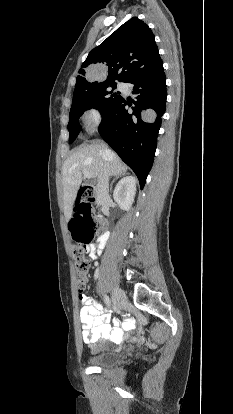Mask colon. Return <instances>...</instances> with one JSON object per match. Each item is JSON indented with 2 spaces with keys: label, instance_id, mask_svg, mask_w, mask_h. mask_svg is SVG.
<instances>
[{
  "label": "colon",
  "instance_id": "5ec220e1",
  "mask_svg": "<svg viewBox=\"0 0 233 414\" xmlns=\"http://www.w3.org/2000/svg\"><path fill=\"white\" fill-rule=\"evenodd\" d=\"M88 194H90V197H95L93 190H90ZM69 228L76 242L72 248V257L77 273V286L80 292L85 290L88 283L87 274L90 263L85 257L87 246L103 230L104 224L93 215L90 205L85 204L80 211H75L70 220Z\"/></svg>",
  "mask_w": 233,
  "mask_h": 414
}]
</instances>
